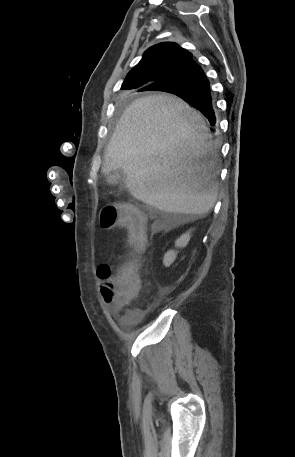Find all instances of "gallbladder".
Wrapping results in <instances>:
<instances>
[{
  "label": "gallbladder",
  "mask_w": 295,
  "mask_h": 457,
  "mask_svg": "<svg viewBox=\"0 0 295 457\" xmlns=\"http://www.w3.org/2000/svg\"><path fill=\"white\" fill-rule=\"evenodd\" d=\"M126 180V173L123 169H117L106 175V181L110 185H116L118 183H123Z\"/></svg>",
  "instance_id": "gallbladder-1"
}]
</instances>
